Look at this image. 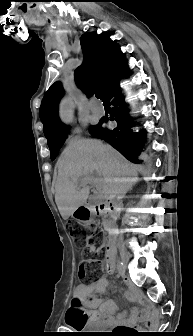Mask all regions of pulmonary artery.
<instances>
[{
  "label": "pulmonary artery",
  "instance_id": "obj_1",
  "mask_svg": "<svg viewBox=\"0 0 193 336\" xmlns=\"http://www.w3.org/2000/svg\"><path fill=\"white\" fill-rule=\"evenodd\" d=\"M89 107L93 114L102 115L104 113V108L101 105H97L95 99L90 100Z\"/></svg>",
  "mask_w": 193,
  "mask_h": 336
}]
</instances>
